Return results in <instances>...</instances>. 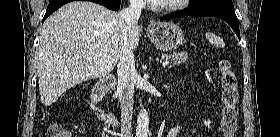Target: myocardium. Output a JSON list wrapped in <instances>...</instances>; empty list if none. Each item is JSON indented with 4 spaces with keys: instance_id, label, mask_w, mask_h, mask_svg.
I'll use <instances>...</instances> for the list:
<instances>
[{
    "instance_id": "myocardium-1",
    "label": "myocardium",
    "mask_w": 280,
    "mask_h": 137,
    "mask_svg": "<svg viewBox=\"0 0 280 137\" xmlns=\"http://www.w3.org/2000/svg\"><path fill=\"white\" fill-rule=\"evenodd\" d=\"M186 0H174L172 3L167 5H151L153 9L159 12L174 11L183 6Z\"/></svg>"
}]
</instances>
